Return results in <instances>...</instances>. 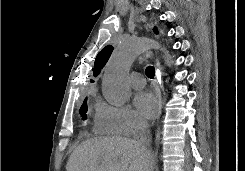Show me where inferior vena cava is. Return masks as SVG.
Here are the masks:
<instances>
[{
  "instance_id": "obj_1",
  "label": "inferior vena cava",
  "mask_w": 245,
  "mask_h": 171,
  "mask_svg": "<svg viewBox=\"0 0 245 171\" xmlns=\"http://www.w3.org/2000/svg\"><path fill=\"white\" fill-rule=\"evenodd\" d=\"M135 142L139 146L144 156L148 159H152V154L149 149L151 142V134L147 122L141 121L138 123V129L135 135Z\"/></svg>"
}]
</instances>
